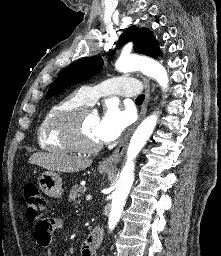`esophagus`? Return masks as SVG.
Here are the masks:
<instances>
[{
    "instance_id": "34e87169",
    "label": "esophagus",
    "mask_w": 221,
    "mask_h": 256,
    "mask_svg": "<svg viewBox=\"0 0 221 256\" xmlns=\"http://www.w3.org/2000/svg\"><path fill=\"white\" fill-rule=\"evenodd\" d=\"M144 86L146 90V99L141 107L140 115L138 121L127 131L125 136L122 138L121 142L117 146V148L113 151V153L106 159H104L102 162H100V166L105 167V168H115L118 162L122 159L126 147L128 144V140L135 129V127L139 124V122L145 117L146 112H147V105L150 99V94H151V86L149 81L144 78Z\"/></svg>"
}]
</instances>
